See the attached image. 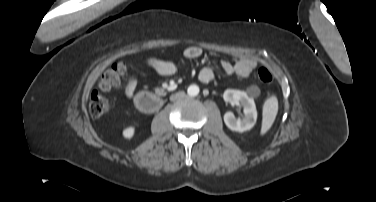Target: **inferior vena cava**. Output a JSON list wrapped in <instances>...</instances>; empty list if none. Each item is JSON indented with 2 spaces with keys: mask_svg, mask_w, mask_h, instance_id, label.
<instances>
[{
  "mask_svg": "<svg viewBox=\"0 0 376 202\" xmlns=\"http://www.w3.org/2000/svg\"><path fill=\"white\" fill-rule=\"evenodd\" d=\"M183 95V93H178V94H176V97H179V96H182Z\"/></svg>",
  "mask_w": 376,
  "mask_h": 202,
  "instance_id": "inferior-vena-cava-1",
  "label": "inferior vena cava"
}]
</instances>
